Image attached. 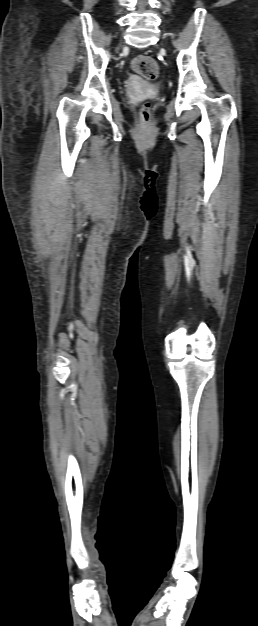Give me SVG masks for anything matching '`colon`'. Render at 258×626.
Here are the masks:
<instances>
[{"label": "colon", "instance_id": "1", "mask_svg": "<svg viewBox=\"0 0 258 626\" xmlns=\"http://www.w3.org/2000/svg\"><path fill=\"white\" fill-rule=\"evenodd\" d=\"M133 70L146 80L153 81L159 74L157 62L150 56L139 55L132 62ZM150 118V104L145 102L141 106V119L147 123Z\"/></svg>", "mask_w": 258, "mask_h": 626}]
</instances>
